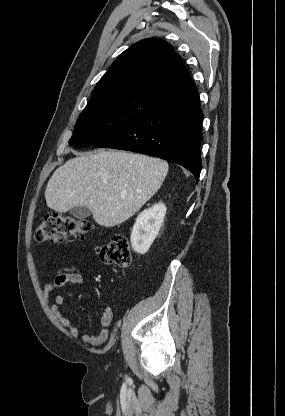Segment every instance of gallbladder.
Wrapping results in <instances>:
<instances>
[{"instance_id":"gallbladder-1","label":"gallbladder","mask_w":285,"mask_h":416,"mask_svg":"<svg viewBox=\"0 0 285 416\" xmlns=\"http://www.w3.org/2000/svg\"><path fill=\"white\" fill-rule=\"evenodd\" d=\"M70 214L74 216V218H77V220H84V218H88V216H91L90 210L88 208H85V206H82V208H72L70 210Z\"/></svg>"}]
</instances>
